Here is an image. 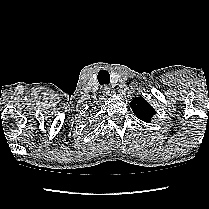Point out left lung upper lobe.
<instances>
[{"mask_svg": "<svg viewBox=\"0 0 209 209\" xmlns=\"http://www.w3.org/2000/svg\"><path fill=\"white\" fill-rule=\"evenodd\" d=\"M130 107L136 117L144 122H150L156 114L155 109L142 97H136L132 100Z\"/></svg>", "mask_w": 209, "mask_h": 209, "instance_id": "obj_1", "label": "left lung upper lobe"}]
</instances>
